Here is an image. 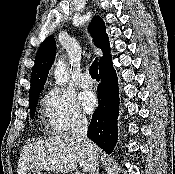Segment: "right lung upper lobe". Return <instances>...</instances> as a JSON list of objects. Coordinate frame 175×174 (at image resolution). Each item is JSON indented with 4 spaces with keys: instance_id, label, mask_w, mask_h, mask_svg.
I'll use <instances>...</instances> for the list:
<instances>
[{
    "instance_id": "obj_1",
    "label": "right lung upper lobe",
    "mask_w": 175,
    "mask_h": 174,
    "mask_svg": "<svg viewBox=\"0 0 175 174\" xmlns=\"http://www.w3.org/2000/svg\"><path fill=\"white\" fill-rule=\"evenodd\" d=\"M89 31L92 35L94 44L103 51V57L99 61L100 68L111 60L109 39L106 34L105 24L99 16H95L90 25ZM56 54V42L53 37H48L40 46L35 64L31 74V87L29 90V101L38 97L43 89L48 72L52 66Z\"/></svg>"
}]
</instances>
